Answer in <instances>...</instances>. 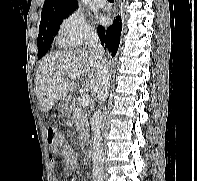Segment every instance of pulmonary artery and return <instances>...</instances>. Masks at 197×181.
I'll return each mask as SVG.
<instances>
[{"instance_id":"1","label":"pulmonary artery","mask_w":197,"mask_h":181,"mask_svg":"<svg viewBox=\"0 0 197 181\" xmlns=\"http://www.w3.org/2000/svg\"><path fill=\"white\" fill-rule=\"evenodd\" d=\"M93 3L97 6V7H104L106 4V0H93Z\"/></svg>"}]
</instances>
